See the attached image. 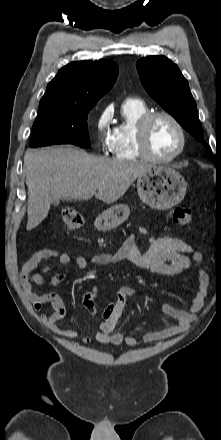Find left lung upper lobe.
Segmentation results:
<instances>
[{
	"instance_id": "1",
	"label": "left lung upper lobe",
	"mask_w": 221,
	"mask_h": 440,
	"mask_svg": "<svg viewBox=\"0 0 221 440\" xmlns=\"http://www.w3.org/2000/svg\"><path fill=\"white\" fill-rule=\"evenodd\" d=\"M140 80L148 94L170 113L196 140L203 139L195 100L188 81L178 66L165 56H149L136 63Z\"/></svg>"
}]
</instances>
